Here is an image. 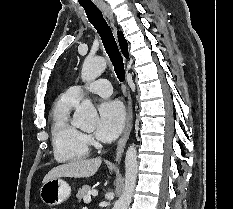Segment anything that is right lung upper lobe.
I'll return each instance as SVG.
<instances>
[{"mask_svg": "<svg viewBox=\"0 0 233 209\" xmlns=\"http://www.w3.org/2000/svg\"><path fill=\"white\" fill-rule=\"evenodd\" d=\"M118 41L123 55L128 58V44L121 31L118 32Z\"/></svg>", "mask_w": 233, "mask_h": 209, "instance_id": "1", "label": "right lung upper lobe"}]
</instances>
